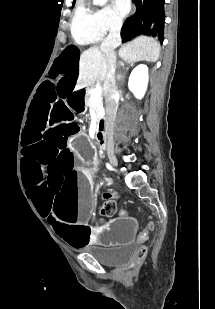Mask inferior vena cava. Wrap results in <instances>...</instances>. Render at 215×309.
Returning <instances> with one entry per match:
<instances>
[{"mask_svg": "<svg viewBox=\"0 0 215 309\" xmlns=\"http://www.w3.org/2000/svg\"><path fill=\"white\" fill-rule=\"evenodd\" d=\"M122 16L113 18L110 24V32L103 40L100 48L107 58V72L104 78V96L106 106L105 132L107 144H113V126L118 108L119 90L116 84V54L114 48L121 42L120 30L122 28Z\"/></svg>", "mask_w": 215, "mask_h": 309, "instance_id": "1", "label": "inferior vena cava"}]
</instances>
